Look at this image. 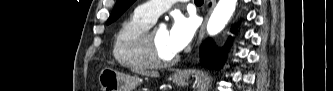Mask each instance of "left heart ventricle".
Masks as SVG:
<instances>
[{"mask_svg": "<svg viewBox=\"0 0 333 91\" xmlns=\"http://www.w3.org/2000/svg\"><path fill=\"white\" fill-rule=\"evenodd\" d=\"M153 38L157 50L162 58L168 59L174 56V53L168 43V30L163 27H158L155 29Z\"/></svg>", "mask_w": 333, "mask_h": 91, "instance_id": "1", "label": "left heart ventricle"}]
</instances>
